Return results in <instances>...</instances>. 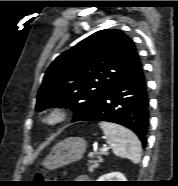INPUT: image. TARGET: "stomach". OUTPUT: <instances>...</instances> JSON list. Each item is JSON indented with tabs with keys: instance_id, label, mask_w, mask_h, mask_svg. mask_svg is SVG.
Here are the masks:
<instances>
[{
	"instance_id": "obj_1",
	"label": "stomach",
	"mask_w": 178,
	"mask_h": 186,
	"mask_svg": "<svg viewBox=\"0 0 178 186\" xmlns=\"http://www.w3.org/2000/svg\"><path fill=\"white\" fill-rule=\"evenodd\" d=\"M87 142L80 137H69L57 143L43 161V166L53 170L82 158Z\"/></svg>"
}]
</instances>
